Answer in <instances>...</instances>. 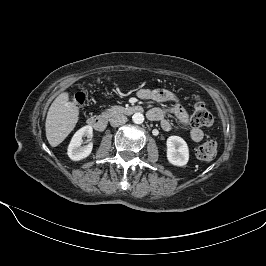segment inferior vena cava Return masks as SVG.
<instances>
[{"label":"inferior vena cava","instance_id":"602c4592","mask_svg":"<svg viewBox=\"0 0 266 266\" xmlns=\"http://www.w3.org/2000/svg\"><path fill=\"white\" fill-rule=\"evenodd\" d=\"M127 122V117L124 114H115L110 119V124L112 127H118L120 125H123Z\"/></svg>","mask_w":266,"mask_h":266}]
</instances>
